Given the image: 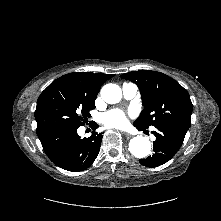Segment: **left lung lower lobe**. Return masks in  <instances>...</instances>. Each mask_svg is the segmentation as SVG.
<instances>
[{
	"mask_svg": "<svg viewBox=\"0 0 221 221\" xmlns=\"http://www.w3.org/2000/svg\"><path fill=\"white\" fill-rule=\"evenodd\" d=\"M138 130H145L134 125ZM152 131L156 140L153 142L154 153L146 159H140L139 162L146 167H158L169 161L182 146L188 129L173 126L162 125L155 127Z\"/></svg>",
	"mask_w": 221,
	"mask_h": 221,
	"instance_id": "left-lung-lower-lobe-1",
	"label": "left lung lower lobe"
}]
</instances>
